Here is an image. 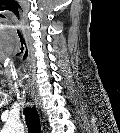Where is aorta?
I'll use <instances>...</instances> for the list:
<instances>
[{
	"mask_svg": "<svg viewBox=\"0 0 120 133\" xmlns=\"http://www.w3.org/2000/svg\"><path fill=\"white\" fill-rule=\"evenodd\" d=\"M18 124H13V123H8L7 124V131L8 132H13L17 128Z\"/></svg>",
	"mask_w": 120,
	"mask_h": 133,
	"instance_id": "762f6f07",
	"label": "aorta"
}]
</instances>
